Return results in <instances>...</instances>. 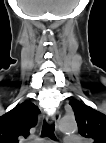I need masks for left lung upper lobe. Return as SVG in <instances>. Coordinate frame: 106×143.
Listing matches in <instances>:
<instances>
[{
  "mask_svg": "<svg viewBox=\"0 0 106 143\" xmlns=\"http://www.w3.org/2000/svg\"><path fill=\"white\" fill-rule=\"evenodd\" d=\"M70 105L75 113L78 132L93 139L94 143H106V115L78 100H72Z\"/></svg>",
  "mask_w": 106,
  "mask_h": 143,
  "instance_id": "5c2ea615",
  "label": "left lung upper lobe"
}]
</instances>
